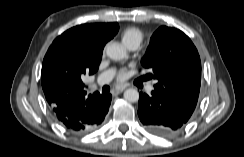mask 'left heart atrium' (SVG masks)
<instances>
[{
	"label": "left heart atrium",
	"mask_w": 244,
	"mask_h": 157,
	"mask_svg": "<svg viewBox=\"0 0 244 157\" xmlns=\"http://www.w3.org/2000/svg\"><path fill=\"white\" fill-rule=\"evenodd\" d=\"M124 77H125V70H121V71L119 72L118 79H119V80H122V79H124Z\"/></svg>",
	"instance_id": "39dd6f15"
}]
</instances>
